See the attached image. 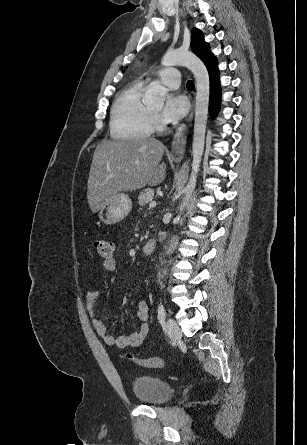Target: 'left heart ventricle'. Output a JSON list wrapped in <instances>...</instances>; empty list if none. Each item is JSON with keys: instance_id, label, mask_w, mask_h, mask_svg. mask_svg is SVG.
Masks as SVG:
<instances>
[{"instance_id": "1", "label": "left heart ventricle", "mask_w": 307, "mask_h": 445, "mask_svg": "<svg viewBox=\"0 0 307 445\" xmlns=\"http://www.w3.org/2000/svg\"><path fill=\"white\" fill-rule=\"evenodd\" d=\"M162 104H163V101H158V102H156L155 105H153V106L151 107L152 111H153L154 113H158V114H159Z\"/></svg>"}]
</instances>
